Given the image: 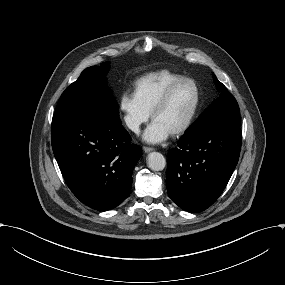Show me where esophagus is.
<instances>
[{
  "mask_svg": "<svg viewBox=\"0 0 285 285\" xmlns=\"http://www.w3.org/2000/svg\"><path fill=\"white\" fill-rule=\"evenodd\" d=\"M143 150H144L145 152H151V151H154L155 149L152 148V147L143 146Z\"/></svg>",
  "mask_w": 285,
  "mask_h": 285,
  "instance_id": "1",
  "label": "esophagus"
}]
</instances>
